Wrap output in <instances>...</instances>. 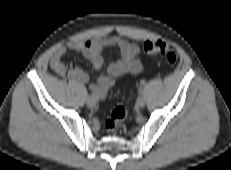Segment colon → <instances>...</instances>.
Segmentation results:
<instances>
[{
  "label": "colon",
  "instance_id": "1",
  "mask_svg": "<svg viewBox=\"0 0 231 170\" xmlns=\"http://www.w3.org/2000/svg\"><path fill=\"white\" fill-rule=\"evenodd\" d=\"M144 51L150 55H161L165 57L166 61L173 65L178 59L177 52L173 50L167 43L161 40H150L145 42ZM64 72L62 75L66 74ZM128 118V110L124 106L116 107L110 117L105 122V128L108 131H114L118 125Z\"/></svg>",
  "mask_w": 231,
  "mask_h": 170
}]
</instances>
